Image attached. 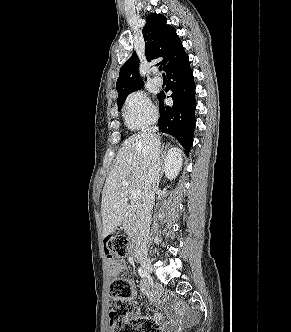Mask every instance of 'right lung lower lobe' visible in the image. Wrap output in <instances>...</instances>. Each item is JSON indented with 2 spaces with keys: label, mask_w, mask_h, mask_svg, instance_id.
<instances>
[{
  "label": "right lung lower lobe",
  "mask_w": 291,
  "mask_h": 332,
  "mask_svg": "<svg viewBox=\"0 0 291 332\" xmlns=\"http://www.w3.org/2000/svg\"><path fill=\"white\" fill-rule=\"evenodd\" d=\"M169 84L166 88L172 91V106H165L164 93L158 95L160 119L159 129L178 139L188 153L193 144L195 119V83L188 56L166 71Z\"/></svg>",
  "instance_id": "1"
}]
</instances>
